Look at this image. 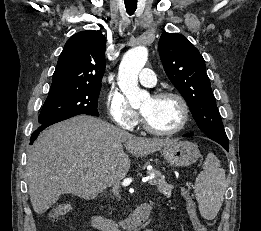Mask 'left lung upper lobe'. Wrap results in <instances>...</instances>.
<instances>
[{
    "mask_svg": "<svg viewBox=\"0 0 261 231\" xmlns=\"http://www.w3.org/2000/svg\"><path fill=\"white\" fill-rule=\"evenodd\" d=\"M158 47L167 76L188 103L200 130L211 139L228 141L198 49L183 35L167 32Z\"/></svg>",
    "mask_w": 261,
    "mask_h": 231,
    "instance_id": "left-lung-upper-lobe-1",
    "label": "left lung upper lobe"
}]
</instances>
